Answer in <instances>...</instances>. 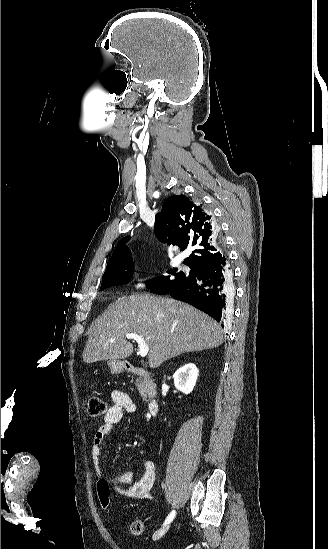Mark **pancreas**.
Returning <instances> with one entry per match:
<instances>
[{
    "label": "pancreas",
    "instance_id": "obj_1",
    "mask_svg": "<svg viewBox=\"0 0 328 549\" xmlns=\"http://www.w3.org/2000/svg\"><path fill=\"white\" fill-rule=\"evenodd\" d=\"M136 387L143 401H146L147 397H149V395H152V393H155V395L157 393L155 383H149V381H147L145 377H137Z\"/></svg>",
    "mask_w": 328,
    "mask_h": 549
}]
</instances>
